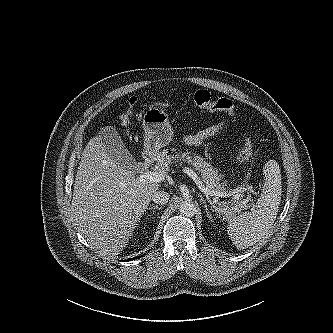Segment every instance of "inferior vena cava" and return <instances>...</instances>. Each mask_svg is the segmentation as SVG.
Wrapping results in <instances>:
<instances>
[{
    "label": "inferior vena cava",
    "mask_w": 333,
    "mask_h": 333,
    "mask_svg": "<svg viewBox=\"0 0 333 333\" xmlns=\"http://www.w3.org/2000/svg\"><path fill=\"white\" fill-rule=\"evenodd\" d=\"M170 195L165 191H155L152 194V201L164 205L168 202Z\"/></svg>",
    "instance_id": "inferior-vena-cava-1"
}]
</instances>
